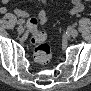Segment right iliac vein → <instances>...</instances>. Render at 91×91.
Returning <instances> with one entry per match:
<instances>
[{
	"label": "right iliac vein",
	"instance_id": "obj_1",
	"mask_svg": "<svg viewBox=\"0 0 91 91\" xmlns=\"http://www.w3.org/2000/svg\"><path fill=\"white\" fill-rule=\"evenodd\" d=\"M17 31H18L19 33H22V32L24 31L23 26H19V27L17 28Z\"/></svg>",
	"mask_w": 91,
	"mask_h": 91
}]
</instances>
